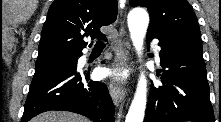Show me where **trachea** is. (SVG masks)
<instances>
[{"instance_id":"trachea-1","label":"trachea","mask_w":221,"mask_h":122,"mask_svg":"<svg viewBox=\"0 0 221 122\" xmlns=\"http://www.w3.org/2000/svg\"><path fill=\"white\" fill-rule=\"evenodd\" d=\"M95 46H96V47H104L105 44H104L103 42H101V41H97V43H96Z\"/></svg>"}]
</instances>
